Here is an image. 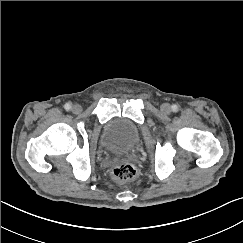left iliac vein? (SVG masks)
Segmentation results:
<instances>
[{"instance_id":"4c4485c4","label":"left iliac vein","mask_w":243,"mask_h":243,"mask_svg":"<svg viewBox=\"0 0 243 243\" xmlns=\"http://www.w3.org/2000/svg\"><path fill=\"white\" fill-rule=\"evenodd\" d=\"M160 109H161V111H162L163 113H166V114H168V113L171 112V106H170V104H168V103H164V104H162L161 107H160Z\"/></svg>"}]
</instances>
